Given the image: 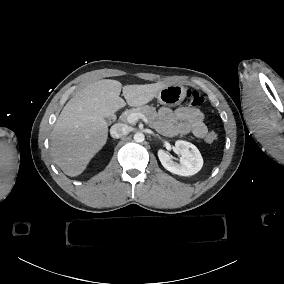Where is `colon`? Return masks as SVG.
<instances>
[{
    "label": "colon",
    "instance_id": "colon-1",
    "mask_svg": "<svg viewBox=\"0 0 284 284\" xmlns=\"http://www.w3.org/2000/svg\"><path fill=\"white\" fill-rule=\"evenodd\" d=\"M187 101L188 104L192 107H201L205 103L204 97L196 90L188 89L187 90ZM216 140V134L210 132L206 136V142L213 143Z\"/></svg>",
    "mask_w": 284,
    "mask_h": 284
}]
</instances>
